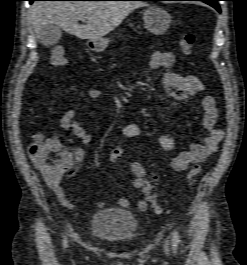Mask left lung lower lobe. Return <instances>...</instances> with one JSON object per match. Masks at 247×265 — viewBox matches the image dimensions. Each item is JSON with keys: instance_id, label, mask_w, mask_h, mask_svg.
Listing matches in <instances>:
<instances>
[{"instance_id": "0a47b994", "label": "left lung lower lobe", "mask_w": 247, "mask_h": 265, "mask_svg": "<svg viewBox=\"0 0 247 265\" xmlns=\"http://www.w3.org/2000/svg\"><path fill=\"white\" fill-rule=\"evenodd\" d=\"M144 1H166V0H144ZM189 1H204V0H189ZM214 7L217 11H221L219 5L216 2L204 1Z\"/></svg>"}]
</instances>
